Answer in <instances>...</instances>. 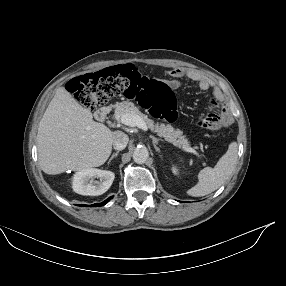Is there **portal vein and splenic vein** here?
I'll use <instances>...</instances> for the list:
<instances>
[{"label": "portal vein and splenic vein", "mask_w": 286, "mask_h": 286, "mask_svg": "<svg viewBox=\"0 0 286 286\" xmlns=\"http://www.w3.org/2000/svg\"><path fill=\"white\" fill-rule=\"evenodd\" d=\"M120 122L122 124H125L127 126H131V127H135L137 126L138 128L147 131L148 127L146 125V123L138 116L136 115H132V114H123L120 118ZM186 152H190L193 153L195 155H198V153L196 152V150H194L191 147L185 148Z\"/></svg>", "instance_id": "18ae733b"}]
</instances>
